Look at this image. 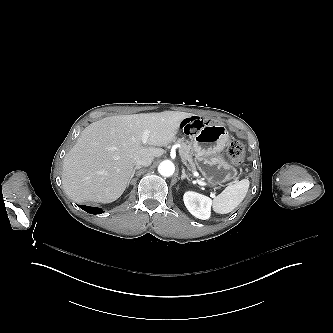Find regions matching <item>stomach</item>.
<instances>
[{
	"mask_svg": "<svg viewBox=\"0 0 333 333\" xmlns=\"http://www.w3.org/2000/svg\"><path fill=\"white\" fill-rule=\"evenodd\" d=\"M227 140L226 131L217 124H204L192 136L196 165L210 186H218L237 177V169L221 155Z\"/></svg>",
	"mask_w": 333,
	"mask_h": 333,
	"instance_id": "stomach-1",
	"label": "stomach"
}]
</instances>
